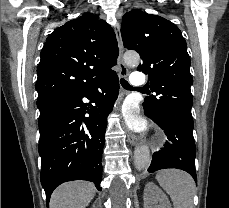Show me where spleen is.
I'll list each match as a JSON object with an SVG mask.
<instances>
[{
    "label": "spleen",
    "instance_id": "obj_1",
    "mask_svg": "<svg viewBox=\"0 0 229 208\" xmlns=\"http://www.w3.org/2000/svg\"><path fill=\"white\" fill-rule=\"evenodd\" d=\"M156 180L170 196L174 208H194L195 182L189 174L181 170H161Z\"/></svg>",
    "mask_w": 229,
    "mask_h": 208
}]
</instances>
